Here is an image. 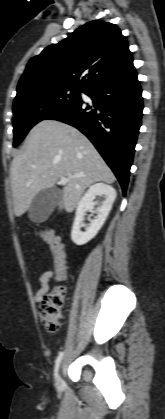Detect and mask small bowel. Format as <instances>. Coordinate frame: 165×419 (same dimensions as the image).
<instances>
[{"label": "small bowel", "instance_id": "small-bowel-1", "mask_svg": "<svg viewBox=\"0 0 165 419\" xmlns=\"http://www.w3.org/2000/svg\"><path fill=\"white\" fill-rule=\"evenodd\" d=\"M42 238L45 240V237L42 234ZM46 241V240H45ZM54 276V272L52 270H46L40 273L39 275V284L40 288L34 295V300L36 302H40L42 298L50 291V280Z\"/></svg>", "mask_w": 165, "mask_h": 419}]
</instances>
